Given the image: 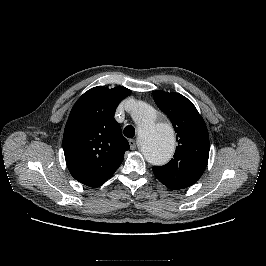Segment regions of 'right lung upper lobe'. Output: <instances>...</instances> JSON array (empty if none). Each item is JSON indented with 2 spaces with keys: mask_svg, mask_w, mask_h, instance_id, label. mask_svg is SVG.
<instances>
[{
  "mask_svg": "<svg viewBox=\"0 0 266 266\" xmlns=\"http://www.w3.org/2000/svg\"><path fill=\"white\" fill-rule=\"evenodd\" d=\"M131 91L118 86L94 87L73 106L63 135V150L71 175L89 187H99L119 168L129 143L114 119L115 110Z\"/></svg>",
  "mask_w": 266,
  "mask_h": 266,
  "instance_id": "obj_1",
  "label": "right lung upper lobe"
}]
</instances>
